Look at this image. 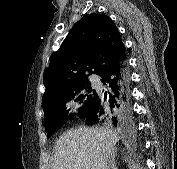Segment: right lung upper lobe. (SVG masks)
<instances>
[{
	"instance_id": "right-lung-upper-lobe-1",
	"label": "right lung upper lobe",
	"mask_w": 177,
	"mask_h": 169,
	"mask_svg": "<svg viewBox=\"0 0 177 169\" xmlns=\"http://www.w3.org/2000/svg\"><path fill=\"white\" fill-rule=\"evenodd\" d=\"M125 58V47L112 20L104 14L85 15L50 58V65L43 75L46 90L42 106L88 84L89 75H99Z\"/></svg>"
}]
</instances>
